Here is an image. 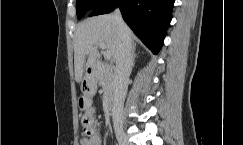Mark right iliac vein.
Returning <instances> with one entry per match:
<instances>
[{"label":"right iliac vein","mask_w":243,"mask_h":145,"mask_svg":"<svg viewBox=\"0 0 243 145\" xmlns=\"http://www.w3.org/2000/svg\"><path fill=\"white\" fill-rule=\"evenodd\" d=\"M119 145H133L127 138L125 134H119L118 137Z\"/></svg>","instance_id":"1"}]
</instances>
